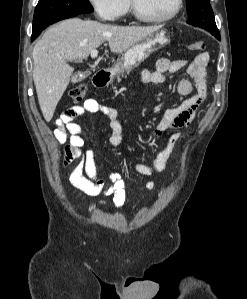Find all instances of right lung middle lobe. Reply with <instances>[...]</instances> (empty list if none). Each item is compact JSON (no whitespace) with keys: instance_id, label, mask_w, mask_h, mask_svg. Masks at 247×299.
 <instances>
[{"instance_id":"right-lung-middle-lobe-1","label":"right lung middle lobe","mask_w":247,"mask_h":299,"mask_svg":"<svg viewBox=\"0 0 247 299\" xmlns=\"http://www.w3.org/2000/svg\"><path fill=\"white\" fill-rule=\"evenodd\" d=\"M91 12L93 7L88 0H39L34 12L32 35L70 15Z\"/></svg>"}]
</instances>
